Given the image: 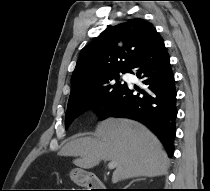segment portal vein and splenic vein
Segmentation results:
<instances>
[{"mask_svg": "<svg viewBox=\"0 0 210 191\" xmlns=\"http://www.w3.org/2000/svg\"><path fill=\"white\" fill-rule=\"evenodd\" d=\"M107 166H108L109 170H112V169L116 168L117 163L115 161H110Z\"/></svg>", "mask_w": 210, "mask_h": 191, "instance_id": "obj_1", "label": "portal vein and splenic vein"}]
</instances>
